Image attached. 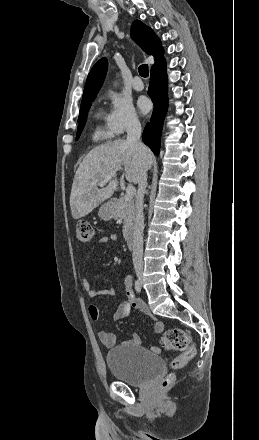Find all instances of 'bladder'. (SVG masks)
Returning <instances> with one entry per match:
<instances>
[{
    "instance_id": "1",
    "label": "bladder",
    "mask_w": 259,
    "mask_h": 440,
    "mask_svg": "<svg viewBox=\"0 0 259 440\" xmlns=\"http://www.w3.org/2000/svg\"><path fill=\"white\" fill-rule=\"evenodd\" d=\"M106 363L117 380L133 386L148 383L161 374L165 367L160 356L132 345H120L110 350L106 355Z\"/></svg>"
}]
</instances>
